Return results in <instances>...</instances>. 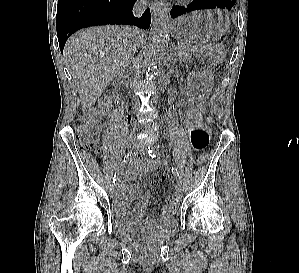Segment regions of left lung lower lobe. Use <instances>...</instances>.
Wrapping results in <instances>:
<instances>
[{"mask_svg": "<svg viewBox=\"0 0 299 273\" xmlns=\"http://www.w3.org/2000/svg\"><path fill=\"white\" fill-rule=\"evenodd\" d=\"M236 0H194L193 3L188 5L186 8L174 7L171 10V17L175 18L187 12L200 9H211V8H227L235 9Z\"/></svg>", "mask_w": 299, "mask_h": 273, "instance_id": "obj_1", "label": "left lung lower lobe"}]
</instances>
